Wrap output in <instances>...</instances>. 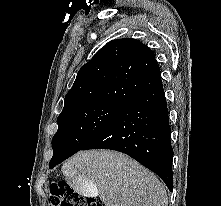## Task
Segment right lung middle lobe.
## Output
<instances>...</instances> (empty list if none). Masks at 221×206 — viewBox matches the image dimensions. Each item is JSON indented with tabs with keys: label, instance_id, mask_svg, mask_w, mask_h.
<instances>
[{
	"label": "right lung middle lobe",
	"instance_id": "obj_1",
	"mask_svg": "<svg viewBox=\"0 0 221 206\" xmlns=\"http://www.w3.org/2000/svg\"><path fill=\"white\" fill-rule=\"evenodd\" d=\"M123 109L118 105L94 103L61 112L57 119L58 131L52 140L54 154L49 168L81 150Z\"/></svg>",
	"mask_w": 221,
	"mask_h": 206
}]
</instances>
